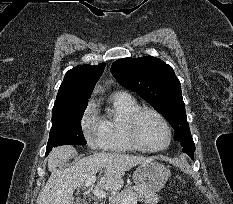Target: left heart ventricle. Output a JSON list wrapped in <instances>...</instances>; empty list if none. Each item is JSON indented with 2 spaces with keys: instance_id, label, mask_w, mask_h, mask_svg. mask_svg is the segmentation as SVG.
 I'll use <instances>...</instances> for the list:
<instances>
[{
  "instance_id": "1",
  "label": "left heart ventricle",
  "mask_w": 233,
  "mask_h": 204,
  "mask_svg": "<svg viewBox=\"0 0 233 204\" xmlns=\"http://www.w3.org/2000/svg\"><path fill=\"white\" fill-rule=\"evenodd\" d=\"M141 142L149 148L161 147L166 143L167 132L162 122L151 113H144L138 121Z\"/></svg>"
}]
</instances>
